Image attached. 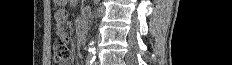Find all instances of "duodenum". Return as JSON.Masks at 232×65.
I'll return each instance as SVG.
<instances>
[{
	"label": "duodenum",
	"mask_w": 232,
	"mask_h": 65,
	"mask_svg": "<svg viewBox=\"0 0 232 65\" xmlns=\"http://www.w3.org/2000/svg\"><path fill=\"white\" fill-rule=\"evenodd\" d=\"M80 37H81L82 43H85L86 42V38H87V28H86L85 25H82V27H81Z\"/></svg>",
	"instance_id": "410a0bca"
}]
</instances>
